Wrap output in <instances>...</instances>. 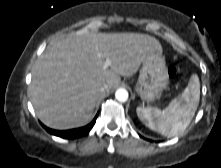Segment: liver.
<instances>
[{"label": "liver", "mask_w": 221, "mask_h": 168, "mask_svg": "<svg viewBox=\"0 0 221 168\" xmlns=\"http://www.w3.org/2000/svg\"><path fill=\"white\" fill-rule=\"evenodd\" d=\"M153 53L162 54L160 42L139 33H90L53 43L32 70L29 92L37 117L53 129L86 125L100 88H115L120 76L134 75ZM106 57L110 69L104 68Z\"/></svg>", "instance_id": "1"}]
</instances>
